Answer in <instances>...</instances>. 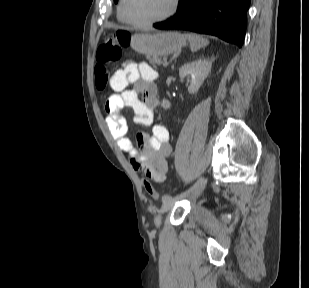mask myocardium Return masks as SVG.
Masks as SVG:
<instances>
[{
  "label": "myocardium",
  "instance_id": "obj_1",
  "mask_svg": "<svg viewBox=\"0 0 309 288\" xmlns=\"http://www.w3.org/2000/svg\"><path fill=\"white\" fill-rule=\"evenodd\" d=\"M126 2L127 0H120V13L121 16L123 18V20L136 28H146V27H151L154 25H157L159 23H162L168 19H170L172 16H174L176 14V12L179 9V5H180V0H172L171 1V8L169 9L168 12H166L164 15L157 17L155 19L152 20H148V21H143V22H138V21H134L132 20L126 12Z\"/></svg>",
  "mask_w": 309,
  "mask_h": 288
}]
</instances>
